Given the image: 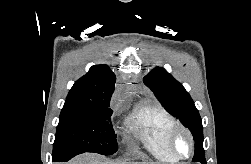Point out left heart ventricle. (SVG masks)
Listing matches in <instances>:
<instances>
[{
    "instance_id": "1",
    "label": "left heart ventricle",
    "mask_w": 251,
    "mask_h": 164,
    "mask_svg": "<svg viewBox=\"0 0 251 164\" xmlns=\"http://www.w3.org/2000/svg\"><path fill=\"white\" fill-rule=\"evenodd\" d=\"M175 149L179 154H182V155H185L188 153L189 143L184 136H180L177 139V141L175 143Z\"/></svg>"
}]
</instances>
